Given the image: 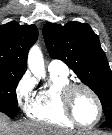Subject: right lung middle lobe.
Masks as SVG:
<instances>
[{
	"instance_id": "right-lung-middle-lobe-1",
	"label": "right lung middle lobe",
	"mask_w": 112,
	"mask_h": 135,
	"mask_svg": "<svg viewBox=\"0 0 112 135\" xmlns=\"http://www.w3.org/2000/svg\"><path fill=\"white\" fill-rule=\"evenodd\" d=\"M23 73L0 74V112L13 118L18 112L15 89Z\"/></svg>"
}]
</instances>
